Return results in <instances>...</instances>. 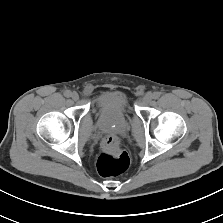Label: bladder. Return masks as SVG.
<instances>
[{"instance_id": "bladder-1", "label": "bladder", "mask_w": 223, "mask_h": 223, "mask_svg": "<svg viewBox=\"0 0 223 223\" xmlns=\"http://www.w3.org/2000/svg\"><path fill=\"white\" fill-rule=\"evenodd\" d=\"M96 111L106 118H119L128 113L130 105L126 93L120 90L102 91L96 97Z\"/></svg>"}]
</instances>
